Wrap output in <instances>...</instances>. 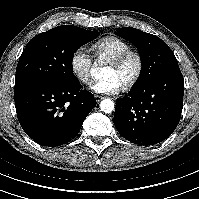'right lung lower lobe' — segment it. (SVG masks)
Masks as SVG:
<instances>
[{"label":"right lung lower lobe","mask_w":199,"mask_h":199,"mask_svg":"<svg viewBox=\"0 0 199 199\" xmlns=\"http://www.w3.org/2000/svg\"><path fill=\"white\" fill-rule=\"evenodd\" d=\"M77 80L56 83L46 80L15 84L18 121L25 133L42 146L70 142L95 107L96 100Z\"/></svg>","instance_id":"right-lung-lower-lobe-1"}]
</instances>
